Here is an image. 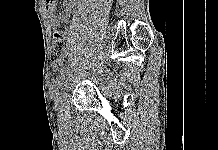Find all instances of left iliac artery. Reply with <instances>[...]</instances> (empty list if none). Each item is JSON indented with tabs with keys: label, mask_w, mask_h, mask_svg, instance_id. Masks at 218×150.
<instances>
[{
	"label": "left iliac artery",
	"mask_w": 218,
	"mask_h": 150,
	"mask_svg": "<svg viewBox=\"0 0 218 150\" xmlns=\"http://www.w3.org/2000/svg\"><path fill=\"white\" fill-rule=\"evenodd\" d=\"M71 73L69 72V71H64L63 72V78H62V80L64 79V76H69Z\"/></svg>",
	"instance_id": "obj_1"
}]
</instances>
